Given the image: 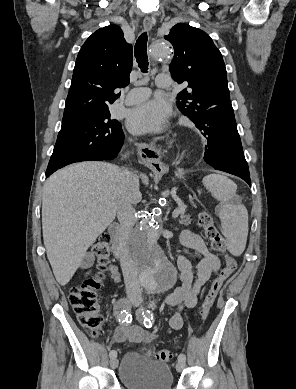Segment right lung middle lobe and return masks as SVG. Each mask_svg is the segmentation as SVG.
<instances>
[{"mask_svg":"<svg viewBox=\"0 0 296 389\" xmlns=\"http://www.w3.org/2000/svg\"><path fill=\"white\" fill-rule=\"evenodd\" d=\"M121 124L112 119L109 109L63 117L48 168L68 165L80 159L121 146Z\"/></svg>","mask_w":296,"mask_h":389,"instance_id":"dd1d6c3e","label":"right lung middle lobe"}]
</instances>
